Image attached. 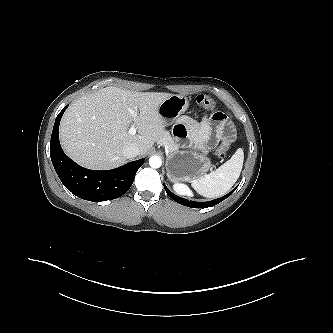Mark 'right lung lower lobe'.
Wrapping results in <instances>:
<instances>
[{"label":"right lung lower lobe","mask_w":333,"mask_h":333,"mask_svg":"<svg viewBox=\"0 0 333 333\" xmlns=\"http://www.w3.org/2000/svg\"><path fill=\"white\" fill-rule=\"evenodd\" d=\"M67 107L58 114L50 140V156L60 180L74 195L84 200L98 202L122 196L131 187L144 159L106 171L89 170L76 164L65 155L59 142V123Z\"/></svg>","instance_id":"right-lung-lower-lobe-1"}]
</instances>
